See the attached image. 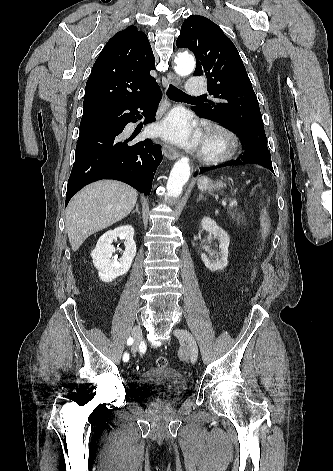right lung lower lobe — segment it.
<instances>
[{"label":"right lung lower lobe","instance_id":"1","mask_svg":"<svg viewBox=\"0 0 333 471\" xmlns=\"http://www.w3.org/2000/svg\"><path fill=\"white\" fill-rule=\"evenodd\" d=\"M160 99L158 86L131 102L81 119L66 206L82 187L101 179L119 180L145 195L150 194L155 172L162 161L161 146L150 139L130 143L134 137L125 139L123 130L129 122H137L138 109L144 111V124L155 121Z\"/></svg>","mask_w":333,"mask_h":471}]
</instances>
